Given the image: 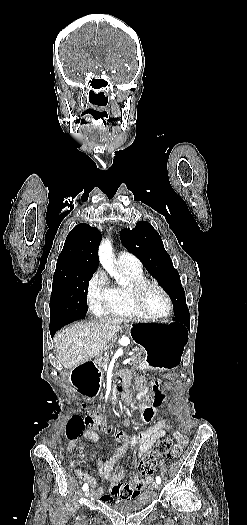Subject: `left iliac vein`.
I'll list each match as a JSON object with an SVG mask.
<instances>
[{
    "label": "left iliac vein",
    "instance_id": "1",
    "mask_svg": "<svg viewBox=\"0 0 247 525\" xmlns=\"http://www.w3.org/2000/svg\"><path fill=\"white\" fill-rule=\"evenodd\" d=\"M153 487H154L155 489H158V488H159V485H158L157 483H154V484H153Z\"/></svg>",
    "mask_w": 247,
    "mask_h": 525
}]
</instances>
